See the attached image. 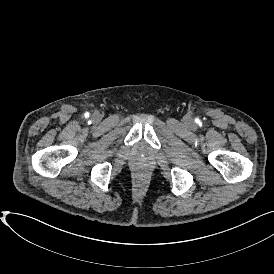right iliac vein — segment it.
<instances>
[{
    "label": "right iliac vein",
    "mask_w": 274,
    "mask_h": 274,
    "mask_svg": "<svg viewBox=\"0 0 274 274\" xmlns=\"http://www.w3.org/2000/svg\"><path fill=\"white\" fill-rule=\"evenodd\" d=\"M101 114L100 112L98 111H95L93 114H92V120L95 122V123H98L100 120H101Z\"/></svg>",
    "instance_id": "right-iliac-vein-1"
}]
</instances>
